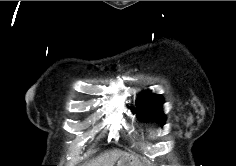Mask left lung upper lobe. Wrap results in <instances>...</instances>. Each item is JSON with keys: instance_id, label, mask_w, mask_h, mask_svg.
I'll return each instance as SVG.
<instances>
[{"instance_id": "obj_1", "label": "left lung upper lobe", "mask_w": 236, "mask_h": 166, "mask_svg": "<svg viewBox=\"0 0 236 166\" xmlns=\"http://www.w3.org/2000/svg\"><path fill=\"white\" fill-rule=\"evenodd\" d=\"M163 97L161 95L152 94L150 91H143L139 94L136 101V110L139 120L148 122L153 121L161 123V126L165 123V115L162 111Z\"/></svg>"}]
</instances>
